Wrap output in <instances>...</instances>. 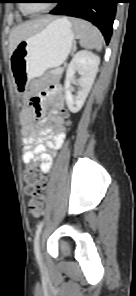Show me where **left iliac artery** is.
Returning a JSON list of instances; mask_svg holds the SVG:
<instances>
[{
    "instance_id": "left-iliac-artery-1",
    "label": "left iliac artery",
    "mask_w": 136,
    "mask_h": 296,
    "mask_svg": "<svg viewBox=\"0 0 136 296\" xmlns=\"http://www.w3.org/2000/svg\"><path fill=\"white\" fill-rule=\"evenodd\" d=\"M42 226H43V221H41L38 224L37 230L35 232V238H34V252H35L38 264H39V266L41 268H42V263H41L40 253H39V238H40V233H41V230H42Z\"/></svg>"
}]
</instances>
